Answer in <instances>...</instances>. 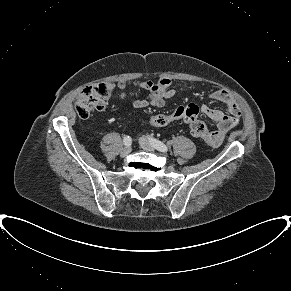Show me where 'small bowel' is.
Masks as SVG:
<instances>
[{
  "instance_id": "obj_1",
  "label": "small bowel",
  "mask_w": 291,
  "mask_h": 291,
  "mask_svg": "<svg viewBox=\"0 0 291 291\" xmlns=\"http://www.w3.org/2000/svg\"><path fill=\"white\" fill-rule=\"evenodd\" d=\"M134 85L149 91L147 98H135L131 101L133 107L137 109L147 107L162 108L166 101L176 94V90L171 87V80L168 78H162L157 82L136 81ZM183 87H185V85ZM210 97L223 103L227 111L226 114L208 105H202L200 107V111L216 123V129L212 134L217 143H219L224 139L225 135L239 123L241 111L233 97L224 90L214 91L211 93Z\"/></svg>"
}]
</instances>
